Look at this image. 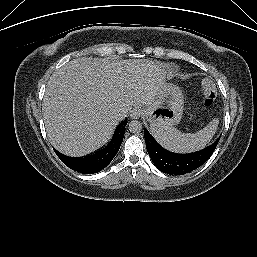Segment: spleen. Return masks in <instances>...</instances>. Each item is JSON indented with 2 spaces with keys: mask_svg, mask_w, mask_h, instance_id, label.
<instances>
[{
  "mask_svg": "<svg viewBox=\"0 0 257 257\" xmlns=\"http://www.w3.org/2000/svg\"><path fill=\"white\" fill-rule=\"evenodd\" d=\"M219 120L214 118L196 133H182L174 127L151 128L157 142L167 150L176 153H190L203 149L215 134Z\"/></svg>",
  "mask_w": 257,
  "mask_h": 257,
  "instance_id": "1",
  "label": "spleen"
}]
</instances>
